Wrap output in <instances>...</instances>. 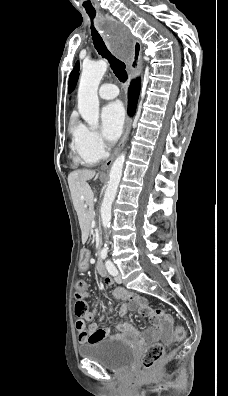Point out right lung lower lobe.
Segmentation results:
<instances>
[{
	"label": "right lung lower lobe",
	"instance_id": "98d812e1",
	"mask_svg": "<svg viewBox=\"0 0 228 396\" xmlns=\"http://www.w3.org/2000/svg\"><path fill=\"white\" fill-rule=\"evenodd\" d=\"M140 92V81L135 80L131 83L129 87V106H128V113L130 115H133L135 112L136 104H137V99L139 96Z\"/></svg>",
	"mask_w": 228,
	"mask_h": 396
}]
</instances>
